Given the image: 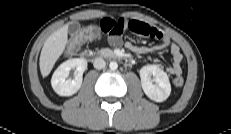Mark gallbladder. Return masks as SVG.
<instances>
[{"label": "gallbladder", "instance_id": "1", "mask_svg": "<svg viewBox=\"0 0 231 134\" xmlns=\"http://www.w3.org/2000/svg\"><path fill=\"white\" fill-rule=\"evenodd\" d=\"M80 29V24L78 22H73L69 25V32L76 33Z\"/></svg>", "mask_w": 231, "mask_h": 134}]
</instances>
